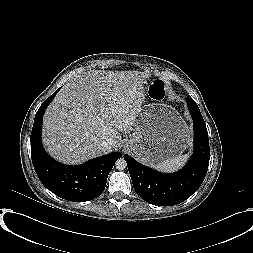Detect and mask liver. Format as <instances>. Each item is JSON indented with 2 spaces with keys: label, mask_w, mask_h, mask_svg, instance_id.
Listing matches in <instances>:
<instances>
[{
  "label": "liver",
  "mask_w": 253,
  "mask_h": 253,
  "mask_svg": "<svg viewBox=\"0 0 253 253\" xmlns=\"http://www.w3.org/2000/svg\"><path fill=\"white\" fill-rule=\"evenodd\" d=\"M149 76L90 70L72 77L44 115L42 140L48 153L75 165L118 149L121 133L133 130ZM105 138L113 145L103 147Z\"/></svg>",
  "instance_id": "obj_1"
}]
</instances>
